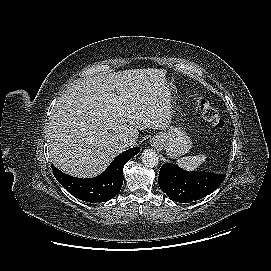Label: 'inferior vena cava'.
Wrapping results in <instances>:
<instances>
[{
    "instance_id": "obj_1",
    "label": "inferior vena cava",
    "mask_w": 271,
    "mask_h": 271,
    "mask_svg": "<svg viewBox=\"0 0 271 271\" xmlns=\"http://www.w3.org/2000/svg\"><path fill=\"white\" fill-rule=\"evenodd\" d=\"M134 144V140L131 136L129 135H122L120 138H119V141H118V145L121 147V148H127L131 145Z\"/></svg>"
}]
</instances>
